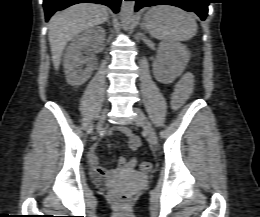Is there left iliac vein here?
Listing matches in <instances>:
<instances>
[{"mask_svg":"<svg viewBox=\"0 0 260 217\" xmlns=\"http://www.w3.org/2000/svg\"><path fill=\"white\" fill-rule=\"evenodd\" d=\"M134 111L137 114L136 123L143 127V129L147 135L148 141L152 145L156 146L158 143V139H157L156 132H155L154 127L152 126L151 122L140 109L134 108Z\"/></svg>","mask_w":260,"mask_h":217,"instance_id":"left-iliac-vein-1","label":"left iliac vein"}]
</instances>
